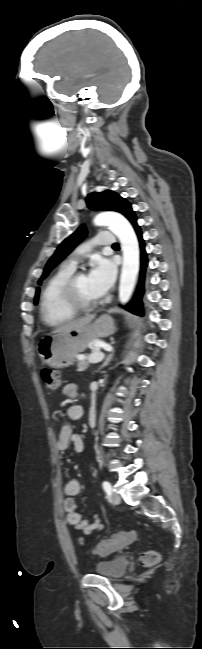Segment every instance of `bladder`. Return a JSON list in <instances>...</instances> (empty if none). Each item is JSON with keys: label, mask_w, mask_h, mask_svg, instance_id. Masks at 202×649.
Wrapping results in <instances>:
<instances>
[{"label": "bladder", "mask_w": 202, "mask_h": 649, "mask_svg": "<svg viewBox=\"0 0 202 649\" xmlns=\"http://www.w3.org/2000/svg\"><path fill=\"white\" fill-rule=\"evenodd\" d=\"M128 568V560L124 557H116L110 560L97 563L94 572L108 578L121 577Z\"/></svg>", "instance_id": "bladder-1"}]
</instances>
